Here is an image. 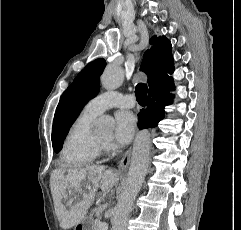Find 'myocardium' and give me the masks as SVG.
Returning a JSON list of instances; mask_svg holds the SVG:
<instances>
[{
  "mask_svg": "<svg viewBox=\"0 0 241 230\" xmlns=\"http://www.w3.org/2000/svg\"><path fill=\"white\" fill-rule=\"evenodd\" d=\"M94 148L100 153L105 148V142L99 140L95 135L92 134L91 138Z\"/></svg>",
  "mask_w": 241,
  "mask_h": 230,
  "instance_id": "1",
  "label": "myocardium"
}]
</instances>
